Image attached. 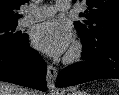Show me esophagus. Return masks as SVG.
<instances>
[{
	"label": "esophagus",
	"mask_w": 119,
	"mask_h": 95,
	"mask_svg": "<svg viewBox=\"0 0 119 95\" xmlns=\"http://www.w3.org/2000/svg\"><path fill=\"white\" fill-rule=\"evenodd\" d=\"M56 77H57L56 68L53 65L49 64L47 66V75H46V81H47V86H48L49 90L54 89Z\"/></svg>",
	"instance_id": "1"
}]
</instances>
